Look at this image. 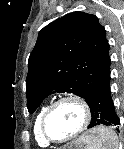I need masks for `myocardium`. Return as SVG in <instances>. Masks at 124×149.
<instances>
[{
	"instance_id": "obj_1",
	"label": "myocardium",
	"mask_w": 124,
	"mask_h": 149,
	"mask_svg": "<svg viewBox=\"0 0 124 149\" xmlns=\"http://www.w3.org/2000/svg\"><path fill=\"white\" fill-rule=\"evenodd\" d=\"M66 102L75 103L81 108V111L83 114V120H82V123H81L80 127L78 128V130L76 132H74L72 135H70L69 137L64 138V139H54L47 132V127H46L47 120H48V117L50 116L51 112L57 106H59L63 103H66ZM90 121H91V109H90L89 104L81 97L71 95V96H65V97L59 98L58 100L54 101L52 104H50L46 108V110L42 116V119H41L40 129H41L42 136L44 137V139L47 142L53 143V144H63V143L69 142V141L77 138L79 135H81L88 128Z\"/></svg>"
}]
</instances>
